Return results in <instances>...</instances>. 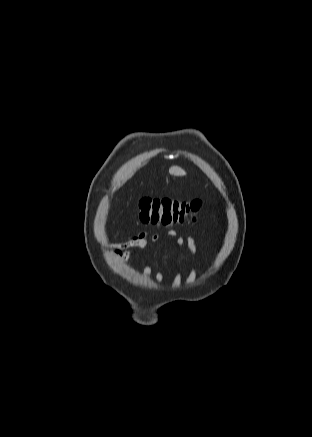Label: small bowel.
Wrapping results in <instances>:
<instances>
[{
	"label": "small bowel",
	"instance_id": "1",
	"mask_svg": "<svg viewBox=\"0 0 312 437\" xmlns=\"http://www.w3.org/2000/svg\"><path fill=\"white\" fill-rule=\"evenodd\" d=\"M168 235L174 237L177 235V233L174 230H170ZM148 237V233L141 232L137 235L131 236L125 242L113 243L111 244L113 254L121 261H125L129 259L135 252L145 250L150 245H155L160 239V236L157 233L152 234L150 236V240H148ZM177 243L181 246L183 244V239L179 238ZM189 282V280H186L185 284H188Z\"/></svg>",
	"mask_w": 312,
	"mask_h": 437
}]
</instances>
